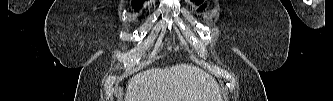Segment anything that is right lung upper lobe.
Listing matches in <instances>:
<instances>
[{"mask_svg":"<svg viewBox=\"0 0 333 101\" xmlns=\"http://www.w3.org/2000/svg\"><path fill=\"white\" fill-rule=\"evenodd\" d=\"M133 2H141L140 0H133Z\"/></svg>","mask_w":333,"mask_h":101,"instance_id":"obj_1","label":"right lung upper lobe"}]
</instances>
